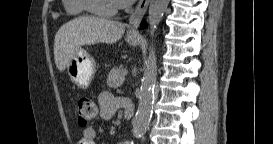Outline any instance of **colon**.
I'll list each match as a JSON object with an SVG mask.
<instances>
[{"label":"colon","instance_id":"5ec220e1","mask_svg":"<svg viewBox=\"0 0 273 144\" xmlns=\"http://www.w3.org/2000/svg\"><path fill=\"white\" fill-rule=\"evenodd\" d=\"M98 114V106L96 102L89 97L79 99L77 107V121L80 126H86L93 121Z\"/></svg>","mask_w":273,"mask_h":144}]
</instances>
